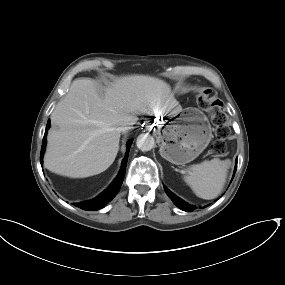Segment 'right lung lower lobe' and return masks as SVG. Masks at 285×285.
<instances>
[{
  "mask_svg": "<svg viewBox=\"0 0 285 285\" xmlns=\"http://www.w3.org/2000/svg\"><path fill=\"white\" fill-rule=\"evenodd\" d=\"M49 127H50V120H48L46 131H45L43 142H42L41 154H40L41 163H42L43 154H44L45 147H46V134H47V130L49 129ZM131 143L132 141H129L127 143V151L121 163L120 172L118 176L114 179V181L111 183V185L106 190H104L100 195H98L96 198L92 200L76 203V206L80 207L83 210L95 211V210H99L103 208L109 201H111L115 197V195L119 192L123 179H124Z\"/></svg>",
  "mask_w": 285,
  "mask_h": 285,
  "instance_id": "1",
  "label": "right lung lower lobe"
}]
</instances>
